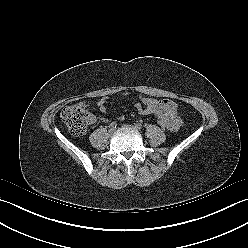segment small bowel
I'll list each match as a JSON object with an SVG mask.
<instances>
[{
    "mask_svg": "<svg viewBox=\"0 0 248 248\" xmlns=\"http://www.w3.org/2000/svg\"><path fill=\"white\" fill-rule=\"evenodd\" d=\"M129 93H123V96H128ZM107 97H102L98 101V107L101 112H106L107 110ZM134 106L140 114L143 115H153L156 118L166 119L169 123V129L171 131H177L181 126V119L178 114V107L175 102L162 99L157 100L154 98L139 96L137 100L134 101Z\"/></svg>",
    "mask_w": 248,
    "mask_h": 248,
    "instance_id": "1",
    "label": "small bowel"
}]
</instances>
